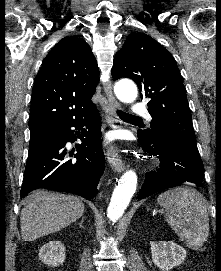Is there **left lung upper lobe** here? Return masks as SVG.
<instances>
[{"label": "left lung upper lobe", "mask_w": 221, "mask_h": 271, "mask_svg": "<svg viewBox=\"0 0 221 271\" xmlns=\"http://www.w3.org/2000/svg\"><path fill=\"white\" fill-rule=\"evenodd\" d=\"M111 72L114 80L132 79L141 91V100L150 99L151 128L161 127L196 145L180 71L173 56L162 45L147 34H129L114 58Z\"/></svg>", "instance_id": "obj_1"}]
</instances>
